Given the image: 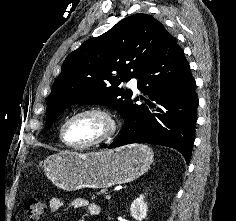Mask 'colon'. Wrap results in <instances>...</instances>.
<instances>
[{"instance_id":"5ec220e1","label":"colon","mask_w":236,"mask_h":221,"mask_svg":"<svg viewBox=\"0 0 236 221\" xmlns=\"http://www.w3.org/2000/svg\"><path fill=\"white\" fill-rule=\"evenodd\" d=\"M24 208L30 221H38L44 213V203L38 198H28L24 202Z\"/></svg>"}]
</instances>
